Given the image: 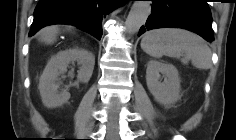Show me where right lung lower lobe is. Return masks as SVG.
Wrapping results in <instances>:
<instances>
[{"instance_id":"1","label":"right lung lower lobe","mask_w":236,"mask_h":140,"mask_svg":"<svg viewBox=\"0 0 236 140\" xmlns=\"http://www.w3.org/2000/svg\"><path fill=\"white\" fill-rule=\"evenodd\" d=\"M126 0H40L29 36L52 24H70L100 39L102 19Z\"/></svg>"}]
</instances>
